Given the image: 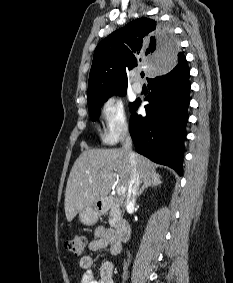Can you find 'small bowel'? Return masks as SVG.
<instances>
[{
    "label": "small bowel",
    "instance_id": "small-bowel-1",
    "mask_svg": "<svg viewBox=\"0 0 233 283\" xmlns=\"http://www.w3.org/2000/svg\"><path fill=\"white\" fill-rule=\"evenodd\" d=\"M95 238L89 242L90 251H100L110 248L112 254H117L120 249L116 247L114 231L105 227H98L94 232ZM93 258L89 255L83 256L79 265L83 269V274L79 283H115L113 280V264L111 261H105L99 271V279L95 277L93 271Z\"/></svg>",
    "mask_w": 233,
    "mask_h": 283
}]
</instances>
